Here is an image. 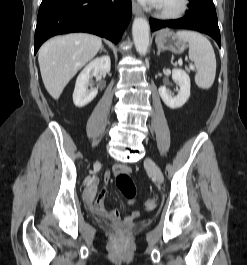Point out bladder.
<instances>
[{"label":"bladder","instance_id":"31cf9c89","mask_svg":"<svg viewBox=\"0 0 247 265\" xmlns=\"http://www.w3.org/2000/svg\"><path fill=\"white\" fill-rule=\"evenodd\" d=\"M116 227L120 230H131L136 229L138 226L136 224H119Z\"/></svg>","mask_w":247,"mask_h":265}]
</instances>
